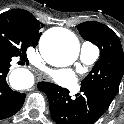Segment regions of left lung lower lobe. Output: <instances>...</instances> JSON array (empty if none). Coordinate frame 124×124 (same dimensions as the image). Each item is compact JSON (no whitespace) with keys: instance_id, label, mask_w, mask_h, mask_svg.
<instances>
[{"instance_id":"left-lung-lower-lobe-1","label":"left lung lower lobe","mask_w":124,"mask_h":124,"mask_svg":"<svg viewBox=\"0 0 124 124\" xmlns=\"http://www.w3.org/2000/svg\"><path fill=\"white\" fill-rule=\"evenodd\" d=\"M38 88L47 95L51 117L57 124H94L109 108L98 97L83 91L72 99L67 89L53 83L40 82Z\"/></svg>"}]
</instances>
